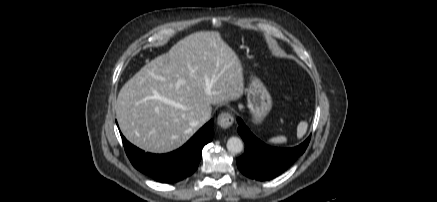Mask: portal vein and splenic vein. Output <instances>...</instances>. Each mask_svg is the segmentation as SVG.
Masks as SVG:
<instances>
[{
	"instance_id": "portal-vein-and-splenic-vein-1",
	"label": "portal vein and splenic vein",
	"mask_w": 437,
	"mask_h": 202,
	"mask_svg": "<svg viewBox=\"0 0 437 202\" xmlns=\"http://www.w3.org/2000/svg\"><path fill=\"white\" fill-rule=\"evenodd\" d=\"M182 82H183L182 80H179V81H178L179 84H181ZM158 98H159V97H158Z\"/></svg>"
}]
</instances>
